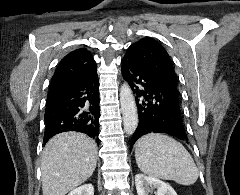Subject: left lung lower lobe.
I'll return each instance as SVG.
<instances>
[{"label": "left lung lower lobe", "instance_id": "1", "mask_svg": "<svg viewBox=\"0 0 240 195\" xmlns=\"http://www.w3.org/2000/svg\"><path fill=\"white\" fill-rule=\"evenodd\" d=\"M122 75L135 94L139 123L130 149L142 135L165 133L187 141L181 118L179 95L174 88L155 77L147 68L124 56ZM143 87V90L140 88Z\"/></svg>", "mask_w": 240, "mask_h": 195}]
</instances>
